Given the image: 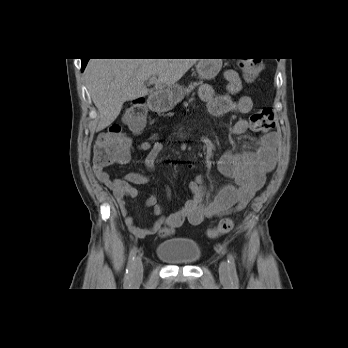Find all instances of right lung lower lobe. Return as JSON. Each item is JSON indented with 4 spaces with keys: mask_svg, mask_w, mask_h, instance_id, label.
Returning <instances> with one entry per match:
<instances>
[{
    "mask_svg": "<svg viewBox=\"0 0 348 348\" xmlns=\"http://www.w3.org/2000/svg\"><path fill=\"white\" fill-rule=\"evenodd\" d=\"M88 59H82V70L84 69L86 63H87Z\"/></svg>",
    "mask_w": 348,
    "mask_h": 348,
    "instance_id": "obj_1",
    "label": "right lung lower lobe"
}]
</instances>
